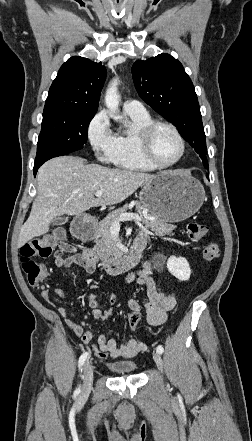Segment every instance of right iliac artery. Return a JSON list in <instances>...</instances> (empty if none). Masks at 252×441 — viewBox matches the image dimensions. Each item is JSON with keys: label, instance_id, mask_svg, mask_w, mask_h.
Wrapping results in <instances>:
<instances>
[{"label": "right iliac artery", "instance_id": "obj_1", "mask_svg": "<svg viewBox=\"0 0 252 441\" xmlns=\"http://www.w3.org/2000/svg\"><path fill=\"white\" fill-rule=\"evenodd\" d=\"M87 356H88V353H87V352L83 353V354L80 356L79 361H78L79 369H81V367L83 366L85 360L87 359ZM76 393H77V394L80 393V387L76 390Z\"/></svg>", "mask_w": 252, "mask_h": 441}]
</instances>
